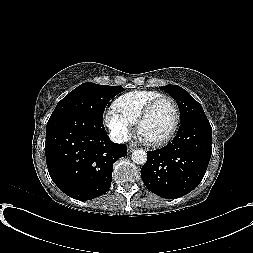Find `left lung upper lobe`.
Segmentation results:
<instances>
[{
  "label": "left lung upper lobe",
  "mask_w": 253,
  "mask_h": 253,
  "mask_svg": "<svg viewBox=\"0 0 253 253\" xmlns=\"http://www.w3.org/2000/svg\"><path fill=\"white\" fill-rule=\"evenodd\" d=\"M162 90L168 92L177 102L180 110V123L193 118L206 117L202 106L178 85H166Z\"/></svg>",
  "instance_id": "1"
}]
</instances>
